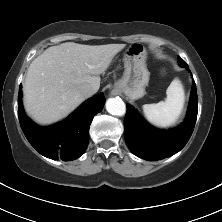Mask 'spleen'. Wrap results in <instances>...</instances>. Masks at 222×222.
<instances>
[{
  "label": "spleen",
  "mask_w": 222,
  "mask_h": 222,
  "mask_svg": "<svg viewBox=\"0 0 222 222\" xmlns=\"http://www.w3.org/2000/svg\"><path fill=\"white\" fill-rule=\"evenodd\" d=\"M167 98L156 104L143 105L147 120L158 127L174 125L182 114L185 94L179 79H174L166 90Z\"/></svg>",
  "instance_id": "spleen-1"
}]
</instances>
